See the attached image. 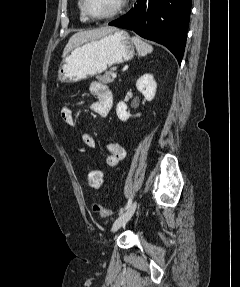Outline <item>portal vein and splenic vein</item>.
<instances>
[{
  "mask_svg": "<svg viewBox=\"0 0 240 287\" xmlns=\"http://www.w3.org/2000/svg\"><path fill=\"white\" fill-rule=\"evenodd\" d=\"M112 76H113V77H116V74H115V73H113V74H112Z\"/></svg>",
  "mask_w": 240,
  "mask_h": 287,
  "instance_id": "portal-vein-and-splenic-vein-1",
  "label": "portal vein and splenic vein"
}]
</instances>
